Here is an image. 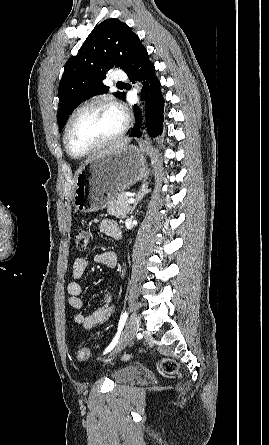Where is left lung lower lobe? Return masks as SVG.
Instances as JSON below:
<instances>
[{
  "mask_svg": "<svg viewBox=\"0 0 269 445\" xmlns=\"http://www.w3.org/2000/svg\"><path fill=\"white\" fill-rule=\"evenodd\" d=\"M126 74L133 83L136 80H139L143 84L142 99L145 100L146 105V126L148 127V134L156 137L163 129L164 98L161 93L160 81L155 74L154 65L149 60L147 50L143 52L139 61ZM134 112L137 123L129 136L140 137L142 135V132L140 131L142 121L140 109L136 105H134Z\"/></svg>",
  "mask_w": 269,
  "mask_h": 445,
  "instance_id": "0a47b994",
  "label": "left lung lower lobe"
}]
</instances>
